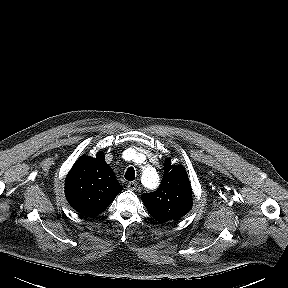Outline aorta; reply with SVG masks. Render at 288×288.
<instances>
[{
    "instance_id": "762f6f07",
    "label": "aorta",
    "mask_w": 288,
    "mask_h": 288,
    "mask_svg": "<svg viewBox=\"0 0 288 288\" xmlns=\"http://www.w3.org/2000/svg\"><path fill=\"white\" fill-rule=\"evenodd\" d=\"M142 182L148 188H156L159 184V176L153 168L147 167L143 170Z\"/></svg>"
}]
</instances>
